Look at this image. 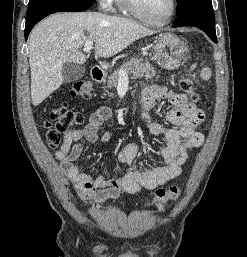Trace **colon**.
Here are the masks:
<instances>
[{"label": "colon", "mask_w": 247, "mask_h": 257, "mask_svg": "<svg viewBox=\"0 0 247 257\" xmlns=\"http://www.w3.org/2000/svg\"><path fill=\"white\" fill-rule=\"evenodd\" d=\"M180 88L185 93L191 95L192 99L197 101L199 96L195 91L194 84L189 78H183L180 81ZM93 86L88 80L76 81L70 90L74 97L89 99L93 96ZM86 116L79 111L71 110L66 102H62L50 113V119L46 121V139L50 147H57L61 140V130L70 129L82 125ZM180 196V189L176 186L168 189H159L156 191L152 200L146 204L148 207L165 204L169 201L177 200Z\"/></svg>", "instance_id": "colon-1"}]
</instances>
